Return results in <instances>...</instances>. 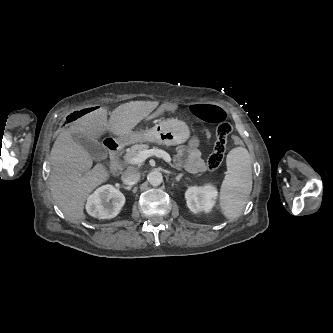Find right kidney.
<instances>
[{
  "instance_id": "1",
  "label": "right kidney",
  "mask_w": 333,
  "mask_h": 333,
  "mask_svg": "<svg viewBox=\"0 0 333 333\" xmlns=\"http://www.w3.org/2000/svg\"><path fill=\"white\" fill-rule=\"evenodd\" d=\"M125 196L112 185H103L91 194L86 203L87 213L98 219H111L118 215Z\"/></svg>"
}]
</instances>
